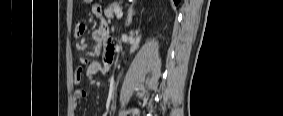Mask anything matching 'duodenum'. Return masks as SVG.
Returning <instances> with one entry per match:
<instances>
[{
    "label": "duodenum",
    "instance_id": "duodenum-1",
    "mask_svg": "<svg viewBox=\"0 0 283 116\" xmlns=\"http://www.w3.org/2000/svg\"><path fill=\"white\" fill-rule=\"evenodd\" d=\"M108 62L111 63L113 62V57L108 59Z\"/></svg>",
    "mask_w": 283,
    "mask_h": 116
}]
</instances>
